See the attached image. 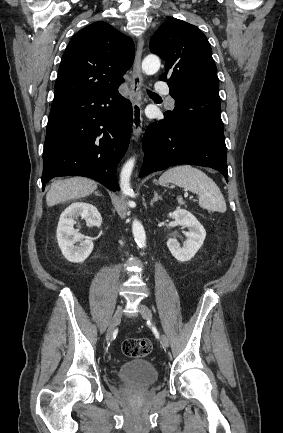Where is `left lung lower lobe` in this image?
<instances>
[{
    "label": "left lung lower lobe",
    "mask_w": 283,
    "mask_h": 433,
    "mask_svg": "<svg viewBox=\"0 0 283 433\" xmlns=\"http://www.w3.org/2000/svg\"><path fill=\"white\" fill-rule=\"evenodd\" d=\"M144 163L139 177L180 164L211 167L228 181L223 129L195 117H173L151 124L143 139Z\"/></svg>",
    "instance_id": "0a47b994"
}]
</instances>
